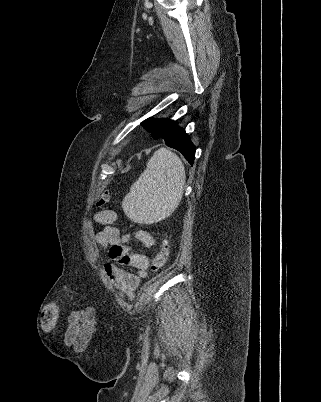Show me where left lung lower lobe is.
I'll return each instance as SVG.
<instances>
[{
    "label": "left lung lower lobe",
    "mask_w": 321,
    "mask_h": 402,
    "mask_svg": "<svg viewBox=\"0 0 321 402\" xmlns=\"http://www.w3.org/2000/svg\"><path fill=\"white\" fill-rule=\"evenodd\" d=\"M156 139L162 138L165 144L175 148L193 165L195 159V146L183 128L177 126V122L170 119L157 120Z\"/></svg>",
    "instance_id": "0a47b994"
}]
</instances>
